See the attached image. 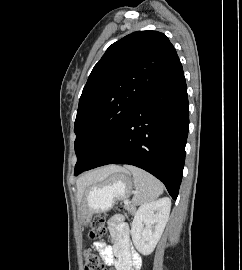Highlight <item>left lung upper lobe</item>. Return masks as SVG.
I'll use <instances>...</instances> for the list:
<instances>
[{
	"label": "left lung upper lobe",
	"mask_w": 242,
	"mask_h": 270,
	"mask_svg": "<svg viewBox=\"0 0 242 270\" xmlns=\"http://www.w3.org/2000/svg\"><path fill=\"white\" fill-rule=\"evenodd\" d=\"M177 58L169 39L157 31L134 32L107 49L80 97L74 126L75 175L102 153Z\"/></svg>",
	"instance_id": "obj_1"
}]
</instances>
